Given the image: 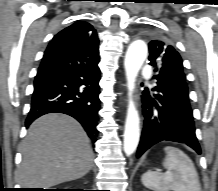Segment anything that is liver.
Listing matches in <instances>:
<instances>
[{
	"label": "liver",
	"instance_id": "obj_1",
	"mask_svg": "<svg viewBox=\"0 0 218 191\" xmlns=\"http://www.w3.org/2000/svg\"><path fill=\"white\" fill-rule=\"evenodd\" d=\"M19 182L25 188L53 187L86 175L93 151L82 126L72 117L47 114L35 120L22 143Z\"/></svg>",
	"mask_w": 218,
	"mask_h": 191
}]
</instances>
